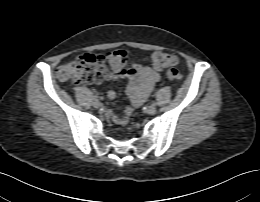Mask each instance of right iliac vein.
<instances>
[{"mask_svg": "<svg viewBox=\"0 0 260 202\" xmlns=\"http://www.w3.org/2000/svg\"><path fill=\"white\" fill-rule=\"evenodd\" d=\"M93 106L98 109V108L101 107V103H100L98 100H95V101L93 102Z\"/></svg>", "mask_w": 260, "mask_h": 202, "instance_id": "obj_1", "label": "right iliac vein"}]
</instances>
